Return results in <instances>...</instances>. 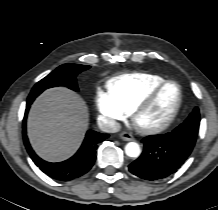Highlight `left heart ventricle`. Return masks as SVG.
Segmentation results:
<instances>
[{"label": "left heart ventricle", "instance_id": "obj_1", "mask_svg": "<svg viewBox=\"0 0 218 210\" xmlns=\"http://www.w3.org/2000/svg\"><path fill=\"white\" fill-rule=\"evenodd\" d=\"M178 98V87L174 84L167 85L152 106L138 117V124L141 127H152L163 123L172 113Z\"/></svg>", "mask_w": 218, "mask_h": 210}]
</instances>
